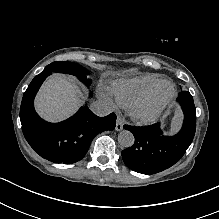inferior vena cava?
<instances>
[{
  "instance_id": "inferior-vena-cava-1",
  "label": "inferior vena cava",
  "mask_w": 219,
  "mask_h": 219,
  "mask_svg": "<svg viewBox=\"0 0 219 219\" xmlns=\"http://www.w3.org/2000/svg\"><path fill=\"white\" fill-rule=\"evenodd\" d=\"M90 110L97 116H106L111 112V108L106 101L96 100L90 105Z\"/></svg>"
}]
</instances>
